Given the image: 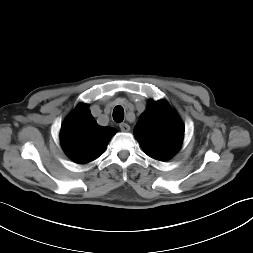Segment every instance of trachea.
I'll return each instance as SVG.
<instances>
[{"instance_id": "1", "label": "trachea", "mask_w": 253, "mask_h": 253, "mask_svg": "<svg viewBox=\"0 0 253 253\" xmlns=\"http://www.w3.org/2000/svg\"><path fill=\"white\" fill-rule=\"evenodd\" d=\"M113 119L115 122H122L124 120V109L117 105L113 110Z\"/></svg>"}]
</instances>
